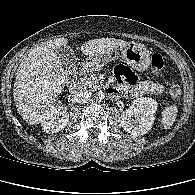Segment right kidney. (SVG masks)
<instances>
[{
    "label": "right kidney",
    "instance_id": "ca27d5eb",
    "mask_svg": "<svg viewBox=\"0 0 195 195\" xmlns=\"http://www.w3.org/2000/svg\"><path fill=\"white\" fill-rule=\"evenodd\" d=\"M69 114L60 106V102L52 106L47 116L42 120V129L46 133H55L62 130L68 123Z\"/></svg>",
    "mask_w": 195,
    "mask_h": 195
}]
</instances>
